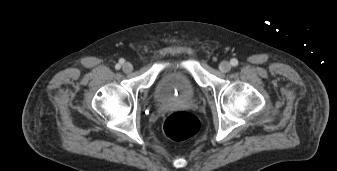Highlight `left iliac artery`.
Instances as JSON below:
<instances>
[{
	"instance_id": "left-iliac-artery-1",
	"label": "left iliac artery",
	"mask_w": 337,
	"mask_h": 171,
	"mask_svg": "<svg viewBox=\"0 0 337 171\" xmlns=\"http://www.w3.org/2000/svg\"><path fill=\"white\" fill-rule=\"evenodd\" d=\"M230 63H231L232 66H237L238 65V60L235 59V58H233V59H231Z\"/></svg>"
}]
</instances>
